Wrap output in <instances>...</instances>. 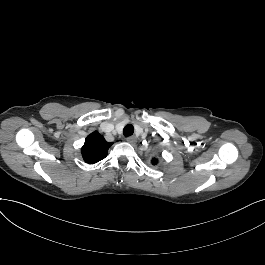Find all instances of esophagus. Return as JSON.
<instances>
[{"label": "esophagus", "instance_id": "esophagus-1", "mask_svg": "<svg viewBox=\"0 0 265 265\" xmlns=\"http://www.w3.org/2000/svg\"><path fill=\"white\" fill-rule=\"evenodd\" d=\"M127 142L130 144H136L137 143V137L136 136H130L127 138Z\"/></svg>", "mask_w": 265, "mask_h": 265}]
</instances>
